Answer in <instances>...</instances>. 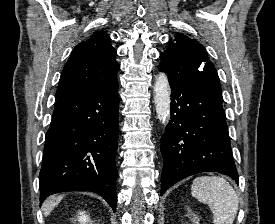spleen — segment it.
Segmentation results:
<instances>
[{
  "mask_svg": "<svg viewBox=\"0 0 275 224\" xmlns=\"http://www.w3.org/2000/svg\"><path fill=\"white\" fill-rule=\"evenodd\" d=\"M191 194L209 206L214 224H233L238 211V196L219 176H201L193 180Z\"/></svg>",
  "mask_w": 275,
  "mask_h": 224,
  "instance_id": "3e777b00",
  "label": "spleen"
}]
</instances>
